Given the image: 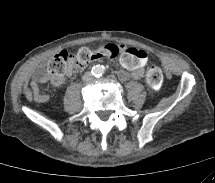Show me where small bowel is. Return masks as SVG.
I'll use <instances>...</instances> for the list:
<instances>
[{
	"label": "small bowel",
	"mask_w": 215,
	"mask_h": 183,
	"mask_svg": "<svg viewBox=\"0 0 215 183\" xmlns=\"http://www.w3.org/2000/svg\"><path fill=\"white\" fill-rule=\"evenodd\" d=\"M121 47L122 49H125V46L122 45ZM147 59L148 52L145 48L137 45L128 46L120 55V62L123 66H125V68L119 70V79L123 81L129 78L140 79L144 74V67ZM73 69L74 66L71 65L67 74L62 78L52 77L48 72H40L36 75L30 83V89L34 100L38 103L46 102L48 100V96L40 91V87L46 83H51L54 86H60L66 78L71 77L73 74Z\"/></svg>",
	"instance_id": "1"
}]
</instances>
